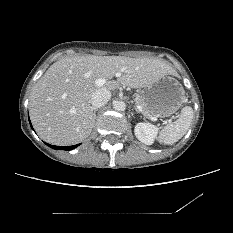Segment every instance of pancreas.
<instances>
[{"label":"pancreas","instance_id":"pancreas-1","mask_svg":"<svg viewBox=\"0 0 233 233\" xmlns=\"http://www.w3.org/2000/svg\"><path fill=\"white\" fill-rule=\"evenodd\" d=\"M135 103L139 106H141L144 114L146 117L152 116L153 114L150 112L149 108L147 107L146 103L143 101L141 96H137L135 99Z\"/></svg>","mask_w":233,"mask_h":233}]
</instances>
